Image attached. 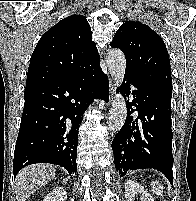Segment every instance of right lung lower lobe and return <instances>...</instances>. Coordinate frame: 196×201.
<instances>
[{
    "label": "right lung lower lobe",
    "instance_id": "98d812e1",
    "mask_svg": "<svg viewBox=\"0 0 196 201\" xmlns=\"http://www.w3.org/2000/svg\"><path fill=\"white\" fill-rule=\"evenodd\" d=\"M25 104L15 145L14 178L34 163L57 164L77 172L78 130L93 98H109L108 78L100 63L79 74L25 89Z\"/></svg>",
    "mask_w": 196,
    "mask_h": 201
}]
</instances>
